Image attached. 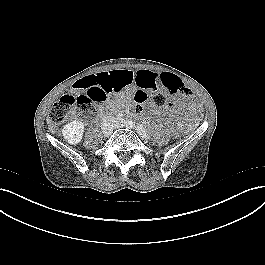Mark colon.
Returning a JSON list of instances; mask_svg holds the SVG:
<instances>
[{"mask_svg": "<svg viewBox=\"0 0 265 265\" xmlns=\"http://www.w3.org/2000/svg\"><path fill=\"white\" fill-rule=\"evenodd\" d=\"M159 84L164 91H154L151 95L145 89L135 92L136 113L142 114L145 105L151 101L156 107H164L168 98H183L184 108L190 113H197L201 109V100L191 96L181 80L171 72L165 71L159 75ZM119 89L108 78L88 76L76 81L72 93L63 95L50 109L49 120L53 124H60L71 115L78 112L89 115L96 112L97 104L105 101L107 96Z\"/></svg>", "mask_w": 265, "mask_h": 265, "instance_id": "5ec220e1", "label": "colon"}]
</instances>
